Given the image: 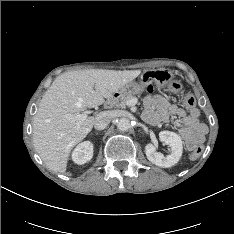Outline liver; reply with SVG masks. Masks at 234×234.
Listing matches in <instances>:
<instances>
[{
  "mask_svg": "<svg viewBox=\"0 0 234 234\" xmlns=\"http://www.w3.org/2000/svg\"><path fill=\"white\" fill-rule=\"evenodd\" d=\"M140 70L88 69L58 76L44 94L33 120V143L46 166L64 173L72 148L92 130L95 118L88 117L80 127L67 115L101 105Z\"/></svg>",
  "mask_w": 234,
  "mask_h": 234,
  "instance_id": "6515ba94",
  "label": "liver"
}]
</instances>
